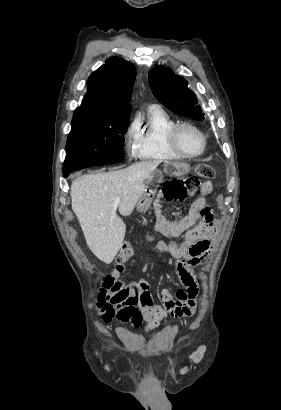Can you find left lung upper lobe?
I'll use <instances>...</instances> for the list:
<instances>
[{"mask_svg":"<svg viewBox=\"0 0 281 410\" xmlns=\"http://www.w3.org/2000/svg\"><path fill=\"white\" fill-rule=\"evenodd\" d=\"M148 80L154 96L175 114L195 120L204 119L196 95L182 76L158 66L150 71Z\"/></svg>","mask_w":281,"mask_h":410,"instance_id":"left-lung-upper-lobe-1","label":"left lung upper lobe"}]
</instances>
